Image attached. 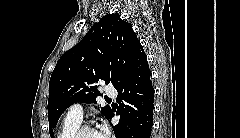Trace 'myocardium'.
Returning a JSON list of instances; mask_svg holds the SVG:
<instances>
[{
	"label": "myocardium",
	"instance_id": "myocardium-1",
	"mask_svg": "<svg viewBox=\"0 0 240 138\" xmlns=\"http://www.w3.org/2000/svg\"><path fill=\"white\" fill-rule=\"evenodd\" d=\"M91 129H93V127L89 124H80L71 134L70 138H81L82 134L85 131L91 130Z\"/></svg>",
	"mask_w": 240,
	"mask_h": 138
}]
</instances>
